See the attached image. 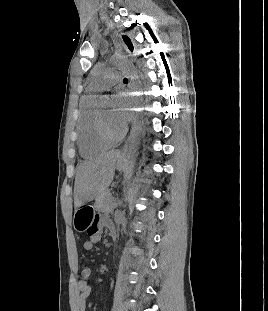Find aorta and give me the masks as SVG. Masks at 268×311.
Wrapping results in <instances>:
<instances>
[{"instance_id":"obj_1","label":"aorta","mask_w":268,"mask_h":311,"mask_svg":"<svg viewBox=\"0 0 268 311\" xmlns=\"http://www.w3.org/2000/svg\"><path fill=\"white\" fill-rule=\"evenodd\" d=\"M111 64L124 70L127 81L130 83L131 87L129 126L132 128V130L128 139V148L126 154L128 164L124 169L123 176V184L125 185L124 191H126L133 174L134 161L136 159L140 143L141 126L143 123L144 89L143 81L140 79L141 74L137 65H130V62L126 56H113L111 58ZM106 100H108V98H105V101Z\"/></svg>"}]
</instances>
